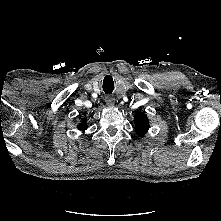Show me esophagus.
Wrapping results in <instances>:
<instances>
[{"label": "esophagus", "instance_id": "1", "mask_svg": "<svg viewBox=\"0 0 221 221\" xmlns=\"http://www.w3.org/2000/svg\"><path fill=\"white\" fill-rule=\"evenodd\" d=\"M105 100H106L108 105H113L114 104V99L110 95L106 96Z\"/></svg>", "mask_w": 221, "mask_h": 221}]
</instances>
